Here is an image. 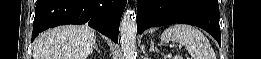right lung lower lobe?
Listing matches in <instances>:
<instances>
[{
    "instance_id": "obj_1",
    "label": "right lung lower lobe",
    "mask_w": 261,
    "mask_h": 59,
    "mask_svg": "<svg viewBox=\"0 0 261 59\" xmlns=\"http://www.w3.org/2000/svg\"><path fill=\"white\" fill-rule=\"evenodd\" d=\"M127 0H38L32 41L50 27L88 24L115 43Z\"/></svg>"
}]
</instances>
